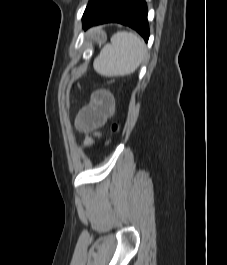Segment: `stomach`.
I'll return each mask as SVG.
<instances>
[{
	"instance_id": "stomach-1",
	"label": "stomach",
	"mask_w": 227,
	"mask_h": 265,
	"mask_svg": "<svg viewBox=\"0 0 227 265\" xmlns=\"http://www.w3.org/2000/svg\"><path fill=\"white\" fill-rule=\"evenodd\" d=\"M105 39H106V35L103 32L100 31V32L96 33V41L98 43L104 42Z\"/></svg>"
}]
</instances>
